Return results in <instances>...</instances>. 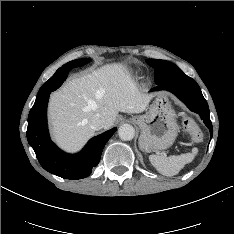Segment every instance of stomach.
I'll return each instance as SVG.
<instances>
[{
    "mask_svg": "<svg viewBox=\"0 0 234 234\" xmlns=\"http://www.w3.org/2000/svg\"><path fill=\"white\" fill-rule=\"evenodd\" d=\"M133 121L141 129L139 146L145 152L169 148L178 135L176 114L165 94L157 95L149 111Z\"/></svg>",
    "mask_w": 234,
    "mask_h": 234,
    "instance_id": "1",
    "label": "stomach"
}]
</instances>
